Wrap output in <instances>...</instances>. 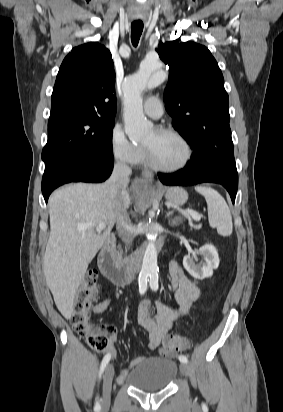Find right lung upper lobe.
Segmentation results:
<instances>
[{
    "label": "right lung upper lobe",
    "mask_w": 283,
    "mask_h": 412,
    "mask_svg": "<svg viewBox=\"0 0 283 412\" xmlns=\"http://www.w3.org/2000/svg\"><path fill=\"white\" fill-rule=\"evenodd\" d=\"M115 72L111 53L97 42L72 49L62 62L52 93L50 116L94 112L104 121L116 115Z\"/></svg>",
    "instance_id": "obj_1"
}]
</instances>
